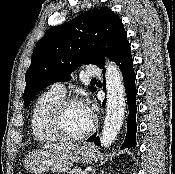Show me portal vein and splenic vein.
Wrapping results in <instances>:
<instances>
[{
  "label": "portal vein and splenic vein",
  "instance_id": "1",
  "mask_svg": "<svg viewBox=\"0 0 175 174\" xmlns=\"http://www.w3.org/2000/svg\"><path fill=\"white\" fill-rule=\"evenodd\" d=\"M81 174H87V172L86 171H82Z\"/></svg>",
  "mask_w": 175,
  "mask_h": 174
}]
</instances>
